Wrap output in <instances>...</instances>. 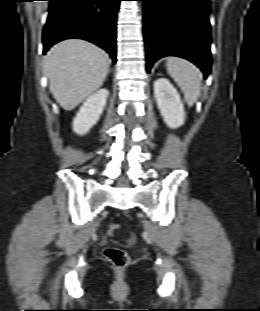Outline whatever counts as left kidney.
<instances>
[{"instance_id": "left-kidney-1", "label": "left kidney", "mask_w": 260, "mask_h": 311, "mask_svg": "<svg viewBox=\"0 0 260 311\" xmlns=\"http://www.w3.org/2000/svg\"><path fill=\"white\" fill-rule=\"evenodd\" d=\"M154 96L160 113L172 129L182 126L185 122V112L180 95L166 78L154 82Z\"/></svg>"}]
</instances>
